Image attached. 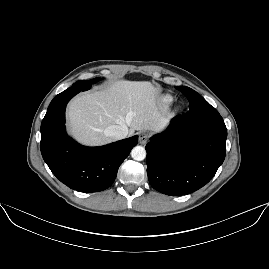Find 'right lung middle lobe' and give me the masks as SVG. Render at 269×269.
I'll use <instances>...</instances> for the list:
<instances>
[{
	"label": "right lung middle lobe",
	"instance_id": "right-lung-middle-lobe-1",
	"mask_svg": "<svg viewBox=\"0 0 269 269\" xmlns=\"http://www.w3.org/2000/svg\"><path fill=\"white\" fill-rule=\"evenodd\" d=\"M99 78H94L91 80H80L73 84L74 87H83L84 90H88L90 85L96 83Z\"/></svg>",
	"mask_w": 269,
	"mask_h": 269
}]
</instances>
